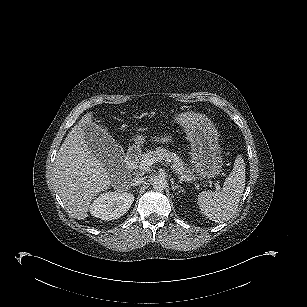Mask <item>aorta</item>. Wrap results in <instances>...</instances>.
Wrapping results in <instances>:
<instances>
[{
	"mask_svg": "<svg viewBox=\"0 0 307 307\" xmlns=\"http://www.w3.org/2000/svg\"><path fill=\"white\" fill-rule=\"evenodd\" d=\"M152 186L155 190H164L167 186V181L164 177L156 176L152 180Z\"/></svg>",
	"mask_w": 307,
	"mask_h": 307,
	"instance_id": "aorta-1",
	"label": "aorta"
}]
</instances>
